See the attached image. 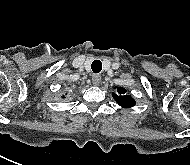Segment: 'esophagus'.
Masks as SVG:
<instances>
[{
  "label": "esophagus",
  "instance_id": "1",
  "mask_svg": "<svg viewBox=\"0 0 190 165\" xmlns=\"http://www.w3.org/2000/svg\"><path fill=\"white\" fill-rule=\"evenodd\" d=\"M92 82L94 85H99L101 82V76L99 74L92 75Z\"/></svg>",
  "mask_w": 190,
  "mask_h": 165
}]
</instances>
